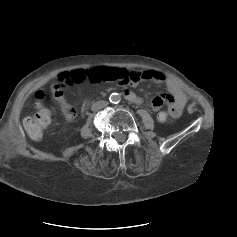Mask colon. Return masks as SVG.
<instances>
[{
  "mask_svg": "<svg viewBox=\"0 0 237 237\" xmlns=\"http://www.w3.org/2000/svg\"><path fill=\"white\" fill-rule=\"evenodd\" d=\"M87 81L91 83L116 82L121 85H132L138 81V76L135 72L120 68L103 67L91 70H73L61 73L57 81L51 85L49 92L55 97L62 96L67 86L82 84ZM47 95L48 91L46 90L36 92V102L34 105L36 111L24 120L25 130L33 139L40 138L51 121L50 111L43 104V101L47 99ZM64 110L69 114L75 112L71 105H65ZM171 116L169 111H160L157 113V120L161 123H166L170 120Z\"/></svg>",
  "mask_w": 237,
  "mask_h": 237,
  "instance_id": "colon-1",
  "label": "colon"
}]
</instances>
